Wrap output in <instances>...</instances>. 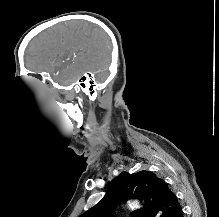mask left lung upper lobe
Returning <instances> with one entry per match:
<instances>
[{"label": "left lung upper lobe", "instance_id": "left-lung-upper-lobe-1", "mask_svg": "<svg viewBox=\"0 0 219 217\" xmlns=\"http://www.w3.org/2000/svg\"><path fill=\"white\" fill-rule=\"evenodd\" d=\"M131 198L145 202L131 217H174L180 208L176 195L153 172H122L109 183L103 199L80 217H113L114 207Z\"/></svg>", "mask_w": 219, "mask_h": 217}]
</instances>
